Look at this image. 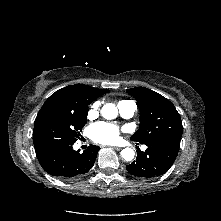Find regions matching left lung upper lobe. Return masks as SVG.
Returning <instances> with one entry per match:
<instances>
[{"mask_svg":"<svg viewBox=\"0 0 221 221\" xmlns=\"http://www.w3.org/2000/svg\"><path fill=\"white\" fill-rule=\"evenodd\" d=\"M126 91L137 100L140 107L139 129L131 136V140L141 144L161 138L181 140V118L168 99L145 87Z\"/></svg>","mask_w":221,"mask_h":221,"instance_id":"obj_1","label":"left lung upper lobe"}]
</instances>
